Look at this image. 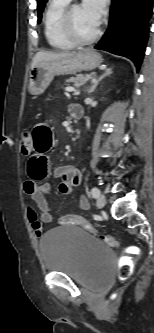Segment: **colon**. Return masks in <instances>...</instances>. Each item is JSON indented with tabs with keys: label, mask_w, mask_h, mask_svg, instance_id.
Returning <instances> with one entry per match:
<instances>
[{
	"label": "colon",
	"mask_w": 154,
	"mask_h": 333,
	"mask_svg": "<svg viewBox=\"0 0 154 333\" xmlns=\"http://www.w3.org/2000/svg\"><path fill=\"white\" fill-rule=\"evenodd\" d=\"M21 142V150L24 154H29L32 150V140L31 133L29 131H25L21 134L20 138ZM59 224H75L83 227L85 230L97 234L96 228L86 219L79 217L77 215H65L59 219ZM100 238L105 241L109 246L115 247L117 245L116 239L108 234H101ZM138 251L136 248H130L127 250L125 257L121 261L118 274L121 278L126 279L129 278L133 271V260L137 257Z\"/></svg>",
	"instance_id": "obj_1"
}]
</instances>
